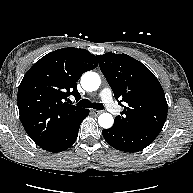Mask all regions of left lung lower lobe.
Here are the masks:
<instances>
[{"mask_svg":"<svg viewBox=\"0 0 193 193\" xmlns=\"http://www.w3.org/2000/svg\"><path fill=\"white\" fill-rule=\"evenodd\" d=\"M160 131L159 129L129 131L113 125L103 130L102 135L107 143L117 150L137 152L151 144Z\"/></svg>","mask_w":193,"mask_h":193,"instance_id":"obj_1","label":"left lung lower lobe"}]
</instances>
